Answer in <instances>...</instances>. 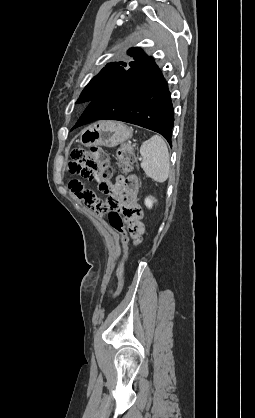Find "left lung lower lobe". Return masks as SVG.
<instances>
[{"mask_svg":"<svg viewBox=\"0 0 255 418\" xmlns=\"http://www.w3.org/2000/svg\"><path fill=\"white\" fill-rule=\"evenodd\" d=\"M167 82L152 57L129 68L94 98L73 128L119 120L160 133L171 145L174 110Z\"/></svg>","mask_w":255,"mask_h":418,"instance_id":"left-lung-lower-lobe-1","label":"left lung lower lobe"}]
</instances>
